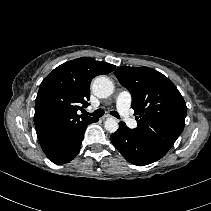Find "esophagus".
I'll list each match as a JSON object with an SVG mask.
<instances>
[{
    "label": "esophagus",
    "instance_id": "obj_1",
    "mask_svg": "<svg viewBox=\"0 0 211 211\" xmlns=\"http://www.w3.org/2000/svg\"><path fill=\"white\" fill-rule=\"evenodd\" d=\"M107 118H110V115H105V116H103V117H102V120H105V119H107Z\"/></svg>",
    "mask_w": 211,
    "mask_h": 211
}]
</instances>
